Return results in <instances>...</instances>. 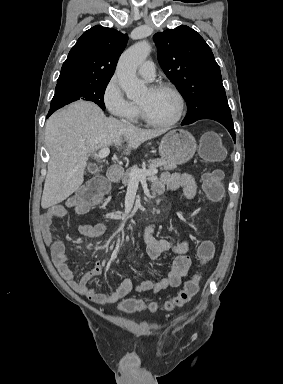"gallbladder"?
Masks as SVG:
<instances>
[{
	"mask_svg": "<svg viewBox=\"0 0 283 384\" xmlns=\"http://www.w3.org/2000/svg\"><path fill=\"white\" fill-rule=\"evenodd\" d=\"M89 170H90L91 172H99V171L101 170V167H100L99 165H91V166L89 167Z\"/></svg>",
	"mask_w": 283,
	"mask_h": 384,
	"instance_id": "obj_1",
	"label": "gallbladder"
}]
</instances>
